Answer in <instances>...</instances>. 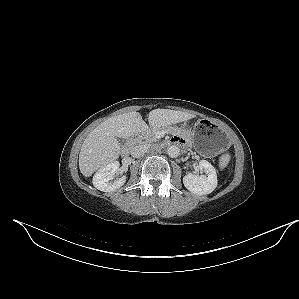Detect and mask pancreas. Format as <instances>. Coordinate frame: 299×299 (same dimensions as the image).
Wrapping results in <instances>:
<instances>
[{
  "instance_id": "obj_1",
  "label": "pancreas",
  "mask_w": 299,
  "mask_h": 299,
  "mask_svg": "<svg viewBox=\"0 0 299 299\" xmlns=\"http://www.w3.org/2000/svg\"><path fill=\"white\" fill-rule=\"evenodd\" d=\"M162 130L172 131V129L169 127L151 128V129H148L147 131L142 132L138 136L137 140H138V142H143V143L156 142L158 140L157 134H158V132H160Z\"/></svg>"
}]
</instances>
